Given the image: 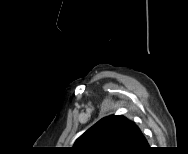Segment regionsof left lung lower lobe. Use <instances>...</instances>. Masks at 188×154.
Returning a JSON list of instances; mask_svg holds the SVG:
<instances>
[{
  "instance_id": "0a47b994",
  "label": "left lung lower lobe",
  "mask_w": 188,
  "mask_h": 154,
  "mask_svg": "<svg viewBox=\"0 0 188 154\" xmlns=\"http://www.w3.org/2000/svg\"><path fill=\"white\" fill-rule=\"evenodd\" d=\"M145 147H147V140L144 137L141 130L138 127H136L130 152H134Z\"/></svg>"
}]
</instances>
